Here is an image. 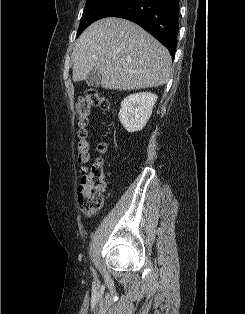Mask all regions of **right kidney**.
<instances>
[{"label":"right kidney","mask_w":245,"mask_h":314,"mask_svg":"<svg viewBox=\"0 0 245 314\" xmlns=\"http://www.w3.org/2000/svg\"><path fill=\"white\" fill-rule=\"evenodd\" d=\"M157 95L150 92L135 93L124 98L121 102L119 120L128 132L142 130L148 122Z\"/></svg>","instance_id":"obj_1"}]
</instances>
